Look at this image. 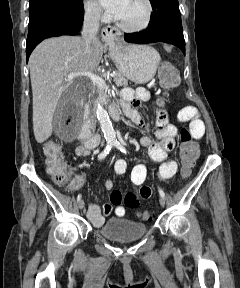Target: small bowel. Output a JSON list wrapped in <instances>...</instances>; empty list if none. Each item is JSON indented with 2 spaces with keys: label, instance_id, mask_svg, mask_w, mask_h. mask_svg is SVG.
<instances>
[{
  "label": "small bowel",
  "instance_id": "1",
  "mask_svg": "<svg viewBox=\"0 0 240 288\" xmlns=\"http://www.w3.org/2000/svg\"><path fill=\"white\" fill-rule=\"evenodd\" d=\"M150 100V93L145 88H124L121 92L120 103L124 113L131 118V120L139 127L146 129L147 124L138 112V107ZM154 111L156 113V131L155 138L149 136H143L141 138L142 146L148 149L150 158L160 163L158 169V176L160 179L165 180L173 177L177 171V163L169 158V152L173 149L178 136L177 127L169 122L167 110L159 103L154 102ZM176 119L180 123H189L188 131L191 133L194 139H199L204 135L205 126L200 119L197 108L193 106H186L181 108L176 116ZM75 154L79 157L89 156L91 149L87 148L83 144L79 145L75 149ZM73 170V181L71 188L75 191L79 190L84 183V178L75 174ZM127 171V162L124 159H118L114 164V172L117 175H122ZM146 168L142 164H137L131 171V181L134 185L141 186L146 180ZM107 190H111L113 183L111 180H107L105 183ZM141 198L148 199L151 197L152 190L149 186H142L139 192ZM122 194L120 191L115 190L111 195L110 204H104L100 208L96 204H90L87 211V216L91 223L95 227H100L105 217L109 216L113 210L116 216L123 217L126 214L125 208L121 205Z\"/></svg>",
  "mask_w": 240,
  "mask_h": 288
}]
</instances>
